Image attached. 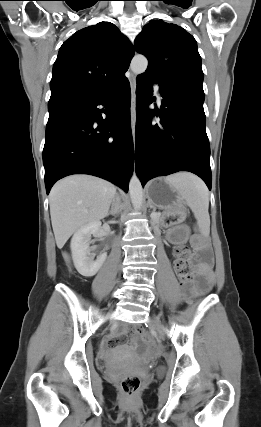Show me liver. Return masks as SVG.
<instances>
[{
  "label": "liver",
  "instance_id": "1",
  "mask_svg": "<svg viewBox=\"0 0 261 427\" xmlns=\"http://www.w3.org/2000/svg\"><path fill=\"white\" fill-rule=\"evenodd\" d=\"M115 195L114 184L94 176L72 175L57 182L49 195L57 247L81 227L107 216Z\"/></svg>",
  "mask_w": 261,
  "mask_h": 427
}]
</instances>
